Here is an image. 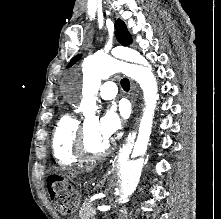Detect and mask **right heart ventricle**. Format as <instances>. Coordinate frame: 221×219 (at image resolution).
<instances>
[{
    "mask_svg": "<svg viewBox=\"0 0 221 219\" xmlns=\"http://www.w3.org/2000/svg\"><path fill=\"white\" fill-rule=\"evenodd\" d=\"M80 125V119L73 113H65L58 120L52 135V151L58 165L71 166L79 161L74 144Z\"/></svg>",
    "mask_w": 221,
    "mask_h": 219,
    "instance_id": "e07e8e85",
    "label": "right heart ventricle"
}]
</instances>
